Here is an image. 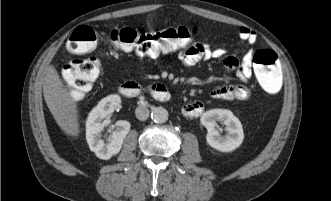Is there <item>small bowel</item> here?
Wrapping results in <instances>:
<instances>
[{
	"label": "small bowel",
	"instance_id": "obj_1",
	"mask_svg": "<svg viewBox=\"0 0 331 201\" xmlns=\"http://www.w3.org/2000/svg\"><path fill=\"white\" fill-rule=\"evenodd\" d=\"M239 37L242 41L254 44L257 41V34L254 30L242 27L239 30ZM179 58L185 66L191 67L199 62L212 59H222L223 65L229 70L236 72L241 82H247L253 74V54L248 51L240 60L235 56H227L222 47L212 48L208 41L201 40L183 48ZM211 96L220 100H247L250 97V90L243 84H231L216 87L211 91ZM204 104L197 100L183 106L182 113L186 117H198L203 113Z\"/></svg>",
	"mask_w": 331,
	"mask_h": 201
}]
</instances>
